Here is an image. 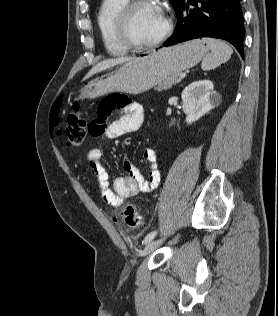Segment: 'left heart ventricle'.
Returning a JSON list of instances; mask_svg holds the SVG:
<instances>
[{
    "label": "left heart ventricle",
    "instance_id": "obj_1",
    "mask_svg": "<svg viewBox=\"0 0 278 316\" xmlns=\"http://www.w3.org/2000/svg\"><path fill=\"white\" fill-rule=\"evenodd\" d=\"M165 18L159 6H140L132 15L130 29L139 43H148L158 38L165 29Z\"/></svg>",
    "mask_w": 278,
    "mask_h": 316
}]
</instances>
